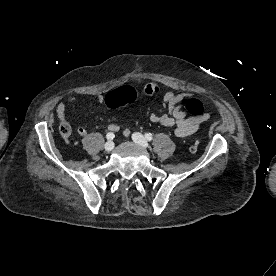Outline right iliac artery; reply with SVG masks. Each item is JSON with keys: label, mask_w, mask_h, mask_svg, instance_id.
I'll use <instances>...</instances> for the list:
<instances>
[{"label": "right iliac artery", "mask_w": 276, "mask_h": 276, "mask_svg": "<svg viewBox=\"0 0 276 276\" xmlns=\"http://www.w3.org/2000/svg\"><path fill=\"white\" fill-rule=\"evenodd\" d=\"M114 137H115V135H114V133H112V132H109V133H107V135H106V138H107L108 140H112Z\"/></svg>", "instance_id": "obj_1"}]
</instances>
